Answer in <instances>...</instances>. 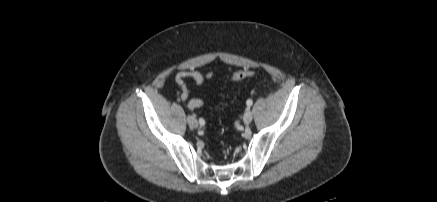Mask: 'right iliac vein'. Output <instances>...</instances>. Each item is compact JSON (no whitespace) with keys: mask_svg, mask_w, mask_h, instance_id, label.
Here are the masks:
<instances>
[{"mask_svg":"<svg viewBox=\"0 0 437 202\" xmlns=\"http://www.w3.org/2000/svg\"><path fill=\"white\" fill-rule=\"evenodd\" d=\"M187 121H188V124H189V126H190L191 128H197V127H198V121H197V119L195 118V116H193V115H189V116L187 117Z\"/></svg>","mask_w":437,"mask_h":202,"instance_id":"63e3f726","label":"right iliac vein"}]
</instances>
